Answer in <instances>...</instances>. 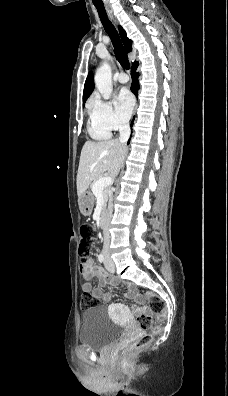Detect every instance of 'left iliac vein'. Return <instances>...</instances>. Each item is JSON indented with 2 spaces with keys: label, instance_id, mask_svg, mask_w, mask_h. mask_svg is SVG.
<instances>
[{
  "label": "left iliac vein",
  "instance_id": "4c4485c4",
  "mask_svg": "<svg viewBox=\"0 0 228 396\" xmlns=\"http://www.w3.org/2000/svg\"><path fill=\"white\" fill-rule=\"evenodd\" d=\"M105 267L108 270V272H110V273L115 272V266H114L113 262L108 257H106V260H105Z\"/></svg>",
  "mask_w": 228,
  "mask_h": 396
}]
</instances>
